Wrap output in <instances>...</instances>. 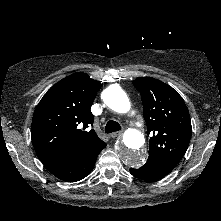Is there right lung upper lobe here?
Wrapping results in <instances>:
<instances>
[{"label": "right lung upper lobe", "instance_id": "cb5924a9", "mask_svg": "<svg viewBox=\"0 0 221 221\" xmlns=\"http://www.w3.org/2000/svg\"><path fill=\"white\" fill-rule=\"evenodd\" d=\"M101 83L87 74L69 75L43 96L33 116V147L44 165L62 162L102 142L92 129L91 105Z\"/></svg>", "mask_w": 221, "mask_h": 221}]
</instances>
